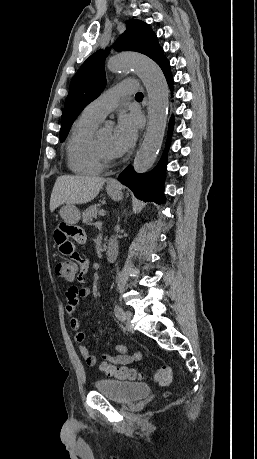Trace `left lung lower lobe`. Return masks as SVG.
Listing matches in <instances>:
<instances>
[{"mask_svg":"<svg viewBox=\"0 0 257 459\" xmlns=\"http://www.w3.org/2000/svg\"><path fill=\"white\" fill-rule=\"evenodd\" d=\"M158 65L161 67L168 83L172 86V75L170 72V64L166 57H164ZM173 121L169 124L168 138L172 132ZM169 141L166 143L165 152L154 170L146 174H138L134 171L133 167L128 166L118 177V180L129 187L135 196L145 202H156L162 204L165 202L164 197V178L165 168L167 164V149Z\"/></svg>","mask_w":257,"mask_h":459,"instance_id":"left-lung-lower-lobe-1","label":"left lung lower lobe"}]
</instances>
